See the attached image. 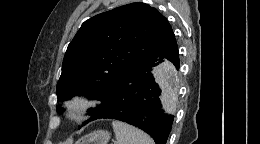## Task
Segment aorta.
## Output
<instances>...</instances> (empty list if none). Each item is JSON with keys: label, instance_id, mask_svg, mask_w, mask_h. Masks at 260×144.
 <instances>
[{"label": "aorta", "instance_id": "obj_1", "mask_svg": "<svg viewBox=\"0 0 260 144\" xmlns=\"http://www.w3.org/2000/svg\"><path fill=\"white\" fill-rule=\"evenodd\" d=\"M165 74H171L172 68L170 66H166L163 68Z\"/></svg>", "mask_w": 260, "mask_h": 144}]
</instances>
